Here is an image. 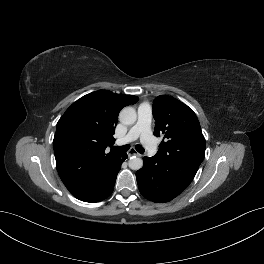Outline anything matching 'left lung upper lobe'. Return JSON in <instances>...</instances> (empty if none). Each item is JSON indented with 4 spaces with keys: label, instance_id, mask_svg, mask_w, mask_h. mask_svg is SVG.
Here are the masks:
<instances>
[{
    "label": "left lung upper lobe",
    "instance_id": "obj_1",
    "mask_svg": "<svg viewBox=\"0 0 264 264\" xmlns=\"http://www.w3.org/2000/svg\"><path fill=\"white\" fill-rule=\"evenodd\" d=\"M154 135H164L156 154L168 167L195 174L204 159L205 139L197 116L187 105L160 95L153 102Z\"/></svg>",
    "mask_w": 264,
    "mask_h": 264
}]
</instances>
